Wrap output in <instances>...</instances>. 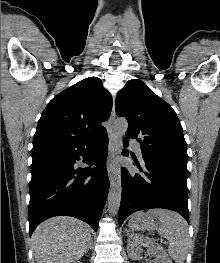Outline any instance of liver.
Here are the masks:
<instances>
[{
  "mask_svg": "<svg viewBox=\"0 0 220 263\" xmlns=\"http://www.w3.org/2000/svg\"><path fill=\"white\" fill-rule=\"evenodd\" d=\"M31 240L37 263H72L86 253L91 233L83 221L58 216L41 223Z\"/></svg>",
  "mask_w": 220,
  "mask_h": 263,
  "instance_id": "liver-1",
  "label": "liver"
}]
</instances>
